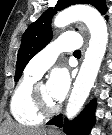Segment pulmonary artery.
Instances as JSON below:
<instances>
[{
	"label": "pulmonary artery",
	"mask_w": 112,
	"mask_h": 135,
	"mask_svg": "<svg viewBox=\"0 0 112 135\" xmlns=\"http://www.w3.org/2000/svg\"><path fill=\"white\" fill-rule=\"evenodd\" d=\"M81 46V38L78 33H66L57 40L49 43L27 65L26 72L37 77L50 68L60 52L75 51Z\"/></svg>",
	"instance_id": "pulmonary-artery-1"
}]
</instances>
